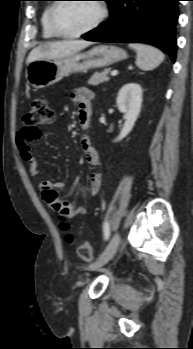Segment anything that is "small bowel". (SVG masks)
Instances as JSON below:
<instances>
[{"instance_id": "obj_1", "label": "small bowel", "mask_w": 193, "mask_h": 349, "mask_svg": "<svg viewBox=\"0 0 193 349\" xmlns=\"http://www.w3.org/2000/svg\"><path fill=\"white\" fill-rule=\"evenodd\" d=\"M93 96V92L88 88H78L71 93V99L77 103L78 118L83 128H87L90 124ZM36 138L37 137L33 135L32 131L24 126L18 131L16 143L22 159L28 165L29 172L32 176L39 178L40 168L31 149V143ZM81 144L86 162L91 166H98L100 163L98 152L87 135L82 137ZM38 185L44 200L52 209L59 215H63L68 221L86 213L84 207L69 201L60 194L65 188L62 182L52 183L50 181L39 180ZM101 185V174H91L89 177L88 194L90 196L97 195L101 189Z\"/></svg>"}]
</instances>
